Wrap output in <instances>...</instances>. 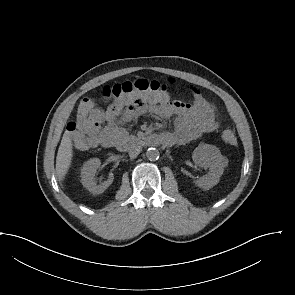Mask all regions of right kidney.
<instances>
[{"label": "right kidney", "mask_w": 295, "mask_h": 295, "mask_svg": "<svg viewBox=\"0 0 295 295\" xmlns=\"http://www.w3.org/2000/svg\"><path fill=\"white\" fill-rule=\"evenodd\" d=\"M100 165V159L93 158L85 162L81 169V183L87 190H89L94 195L103 193L112 184L114 179L113 174L110 173L107 181H104L100 185H97L94 176Z\"/></svg>", "instance_id": "1"}]
</instances>
